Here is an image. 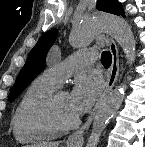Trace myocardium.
<instances>
[{
  "label": "myocardium",
  "mask_w": 145,
  "mask_h": 147,
  "mask_svg": "<svg viewBox=\"0 0 145 147\" xmlns=\"http://www.w3.org/2000/svg\"><path fill=\"white\" fill-rule=\"evenodd\" d=\"M62 91L53 93L45 103V110L50 121L57 127L58 130L66 131L71 130L78 126L80 120L75 117L71 120L64 119L57 107L58 95Z\"/></svg>",
  "instance_id": "myocardium-1"
}]
</instances>
